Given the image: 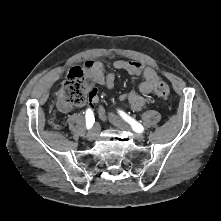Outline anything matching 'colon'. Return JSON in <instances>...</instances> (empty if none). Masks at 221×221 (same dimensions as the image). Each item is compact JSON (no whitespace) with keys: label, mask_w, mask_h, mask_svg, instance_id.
Masks as SVG:
<instances>
[{"label":"colon","mask_w":221,"mask_h":221,"mask_svg":"<svg viewBox=\"0 0 221 221\" xmlns=\"http://www.w3.org/2000/svg\"><path fill=\"white\" fill-rule=\"evenodd\" d=\"M92 78L88 72L80 67L71 68L61 86L60 99L68 104L79 106L86 102ZM155 95L160 99H168L169 85L163 81L158 82L154 88Z\"/></svg>","instance_id":"5ec220e1"}]
</instances>
